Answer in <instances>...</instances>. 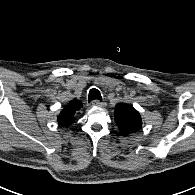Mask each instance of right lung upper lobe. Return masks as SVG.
Wrapping results in <instances>:
<instances>
[{"instance_id":"cb5924a9","label":"right lung upper lobe","mask_w":195,"mask_h":195,"mask_svg":"<svg viewBox=\"0 0 195 195\" xmlns=\"http://www.w3.org/2000/svg\"><path fill=\"white\" fill-rule=\"evenodd\" d=\"M82 107V103L77 100H71L70 103L64 107V109L60 112L58 116V123L61 126H70L74 123L75 113Z\"/></svg>"}]
</instances>
